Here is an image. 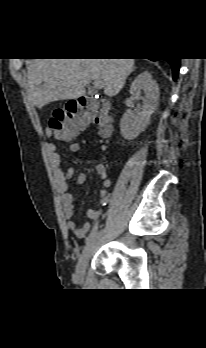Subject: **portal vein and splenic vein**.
<instances>
[{"instance_id": "18ae733b", "label": "portal vein and splenic vein", "mask_w": 206, "mask_h": 348, "mask_svg": "<svg viewBox=\"0 0 206 348\" xmlns=\"http://www.w3.org/2000/svg\"><path fill=\"white\" fill-rule=\"evenodd\" d=\"M93 86H94V88L98 89V88L103 87L104 84H103V82L100 81V80H95V81L93 82Z\"/></svg>"}]
</instances>
